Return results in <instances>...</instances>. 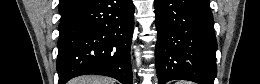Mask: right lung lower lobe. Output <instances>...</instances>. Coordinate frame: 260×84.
<instances>
[{"instance_id": "right-lung-lower-lobe-1", "label": "right lung lower lobe", "mask_w": 260, "mask_h": 84, "mask_svg": "<svg viewBox=\"0 0 260 84\" xmlns=\"http://www.w3.org/2000/svg\"><path fill=\"white\" fill-rule=\"evenodd\" d=\"M133 28L132 0H89L61 19L56 62L59 84L85 74L132 84Z\"/></svg>"}]
</instances>
